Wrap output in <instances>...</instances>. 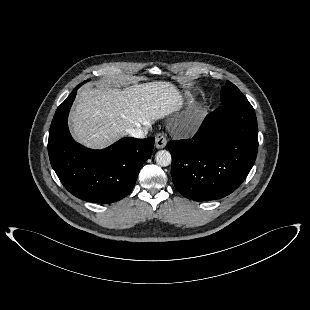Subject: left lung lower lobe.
I'll return each mask as SVG.
<instances>
[{
    "instance_id": "obj_1",
    "label": "left lung lower lobe",
    "mask_w": 310,
    "mask_h": 310,
    "mask_svg": "<svg viewBox=\"0 0 310 310\" xmlns=\"http://www.w3.org/2000/svg\"><path fill=\"white\" fill-rule=\"evenodd\" d=\"M168 149L173 183L184 197H225L241 185L257 156L254 109L248 100L222 105L206 116L193 139L170 141Z\"/></svg>"
}]
</instances>
